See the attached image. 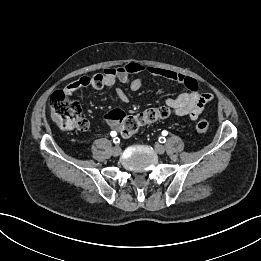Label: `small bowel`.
<instances>
[{
    "label": "small bowel",
    "mask_w": 261,
    "mask_h": 261,
    "mask_svg": "<svg viewBox=\"0 0 261 261\" xmlns=\"http://www.w3.org/2000/svg\"><path fill=\"white\" fill-rule=\"evenodd\" d=\"M143 72H147L152 76L175 81L186 87V92L175 98L168 97L165 99V104L172 109L173 114L176 116H186L190 120H196L203 112L205 105L212 100V95L210 93L199 92L198 84L192 77L161 67H145L138 62H129L123 66L107 68L103 73L96 74L91 77L85 76L79 80L84 83L82 88L91 87L94 89L111 87L116 83V81H119L128 84L130 89L135 92L140 90L143 84L142 80L136 76ZM116 94L120 101L123 103H128V96L122 89H117ZM118 111L122 112L121 110ZM107 115L106 119L109 126L114 129H119L118 123L109 119Z\"/></svg>",
    "instance_id": "small-bowel-1"
}]
</instances>
